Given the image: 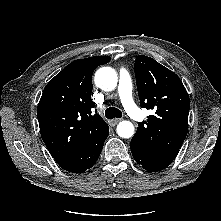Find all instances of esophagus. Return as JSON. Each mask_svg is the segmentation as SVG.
I'll use <instances>...</instances> for the list:
<instances>
[{
    "mask_svg": "<svg viewBox=\"0 0 221 221\" xmlns=\"http://www.w3.org/2000/svg\"><path fill=\"white\" fill-rule=\"evenodd\" d=\"M121 121V119H112L109 121L110 125L112 127L116 126L119 122Z\"/></svg>",
    "mask_w": 221,
    "mask_h": 221,
    "instance_id": "34e87169",
    "label": "esophagus"
}]
</instances>
